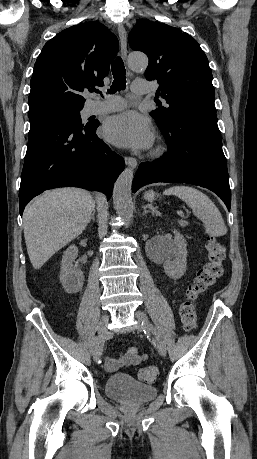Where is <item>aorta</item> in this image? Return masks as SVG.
Segmentation results:
<instances>
[{
  "label": "aorta",
  "instance_id": "1",
  "mask_svg": "<svg viewBox=\"0 0 257 459\" xmlns=\"http://www.w3.org/2000/svg\"><path fill=\"white\" fill-rule=\"evenodd\" d=\"M148 65V59L143 54H131L129 56V66L131 69H143ZM134 172L131 168H126L115 182L113 190L114 207L119 216L129 223L133 215L132 207V180Z\"/></svg>",
  "mask_w": 257,
  "mask_h": 459
}]
</instances>
